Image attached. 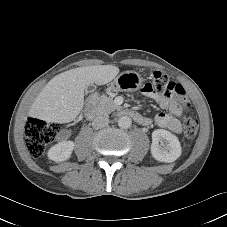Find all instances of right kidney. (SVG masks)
I'll use <instances>...</instances> for the list:
<instances>
[{
	"instance_id": "right-kidney-1",
	"label": "right kidney",
	"mask_w": 227,
	"mask_h": 227,
	"mask_svg": "<svg viewBox=\"0 0 227 227\" xmlns=\"http://www.w3.org/2000/svg\"><path fill=\"white\" fill-rule=\"evenodd\" d=\"M74 149L73 141H63L48 150V158L55 162H62L70 158Z\"/></svg>"
}]
</instances>
